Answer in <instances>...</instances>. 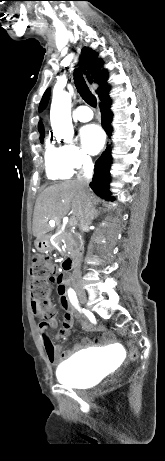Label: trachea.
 I'll return each mask as SVG.
<instances>
[{
  "label": "trachea",
  "instance_id": "obj_1",
  "mask_svg": "<svg viewBox=\"0 0 165 461\" xmlns=\"http://www.w3.org/2000/svg\"><path fill=\"white\" fill-rule=\"evenodd\" d=\"M74 82L78 93L82 99L91 106H96V97L90 92L82 74L79 71L74 72Z\"/></svg>",
  "mask_w": 165,
  "mask_h": 461
}]
</instances>
